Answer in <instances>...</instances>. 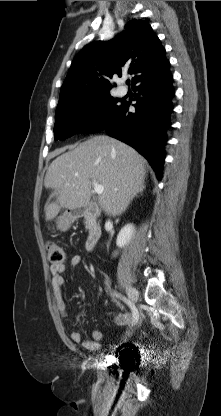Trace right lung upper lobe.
<instances>
[{"mask_svg": "<svg viewBox=\"0 0 221 416\" xmlns=\"http://www.w3.org/2000/svg\"><path fill=\"white\" fill-rule=\"evenodd\" d=\"M168 69L165 49L151 26L132 20L118 37L90 43L78 53L62 85L58 104L109 92V79L122 72L133 75L134 86L144 77Z\"/></svg>", "mask_w": 221, "mask_h": 416, "instance_id": "obj_1", "label": "right lung upper lobe"}]
</instances>
